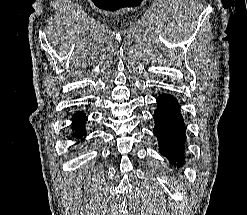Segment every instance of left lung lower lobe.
<instances>
[{"label":"left lung lower lobe","instance_id":"left-lung-lower-lobe-1","mask_svg":"<svg viewBox=\"0 0 247 215\" xmlns=\"http://www.w3.org/2000/svg\"><path fill=\"white\" fill-rule=\"evenodd\" d=\"M158 108L154 113V134L159 140L160 152L169 161L182 167L185 160L184 142L186 140L183 117L177 100L167 94L157 98Z\"/></svg>","mask_w":247,"mask_h":215}]
</instances>
